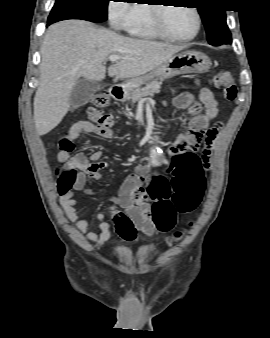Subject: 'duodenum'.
I'll return each mask as SVG.
<instances>
[{
	"mask_svg": "<svg viewBox=\"0 0 270 338\" xmlns=\"http://www.w3.org/2000/svg\"><path fill=\"white\" fill-rule=\"evenodd\" d=\"M124 86L122 85H115L113 87H111V89L109 90V97L113 100H120L123 98L124 96Z\"/></svg>",
	"mask_w": 270,
	"mask_h": 338,
	"instance_id": "duodenum-1",
	"label": "duodenum"
}]
</instances>
